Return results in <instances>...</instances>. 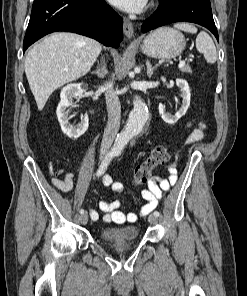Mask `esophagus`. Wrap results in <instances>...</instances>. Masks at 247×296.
Masks as SVG:
<instances>
[{
	"label": "esophagus",
	"instance_id": "1",
	"mask_svg": "<svg viewBox=\"0 0 247 296\" xmlns=\"http://www.w3.org/2000/svg\"><path fill=\"white\" fill-rule=\"evenodd\" d=\"M123 31L128 39H131L133 37L134 28L132 23L127 18H124Z\"/></svg>",
	"mask_w": 247,
	"mask_h": 296
}]
</instances>
